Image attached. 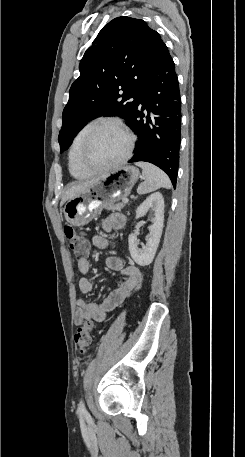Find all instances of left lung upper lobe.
I'll return each mask as SVG.
<instances>
[{
  "label": "left lung upper lobe",
  "instance_id": "5c2ea615",
  "mask_svg": "<svg viewBox=\"0 0 245 457\" xmlns=\"http://www.w3.org/2000/svg\"><path fill=\"white\" fill-rule=\"evenodd\" d=\"M160 40L145 21L125 16L113 19L99 32L80 62V76L70 88L58 137L60 153L94 118L117 115L130 124Z\"/></svg>",
  "mask_w": 245,
  "mask_h": 457
}]
</instances>
